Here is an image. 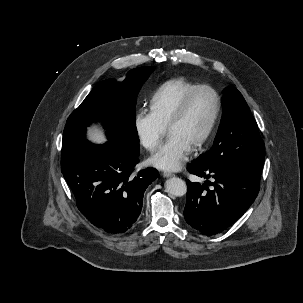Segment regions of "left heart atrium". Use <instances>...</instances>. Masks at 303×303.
Masks as SVG:
<instances>
[{
    "label": "left heart atrium",
    "mask_w": 303,
    "mask_h": 303,
    "mask_svg": "<svg viewBox=\"0 0 303 303\" xmlns=\"http://www.w3.org/2000/svg\"><path fill=\"white\" fill-rule=\"evenodd\" d=\"M192 150V145L177 133H170L166 142L151 156L150 163L158 169L178 170Z\"/></svg>",
    "instance_id": "obj_1"
}]
</instances>
